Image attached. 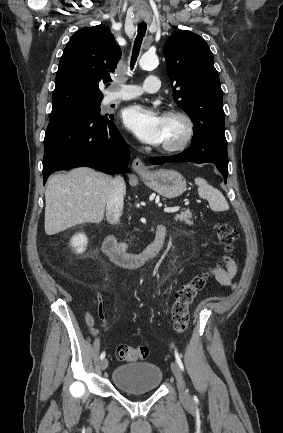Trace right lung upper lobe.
I'll return each mask as SVG.
<instances>
[{
    "label": "right lung upper lobe",
    "instance_id": "right-lung-upper-lobe-1",
    "mask_svg": "<svg viewBox=\"0 0 283 433\" xmlns=\"http://www.w3.org/2000/svg\"><path fill=\"white\" fill-rule=\"evenodd\" d=\"M121 56L110 29L97 25L78 30L59 62L51 114L101 101L99 83L111 81Z\"/></svg>",
    "mask_w": 283,
    "mask_h": 433
}]
</instances>
